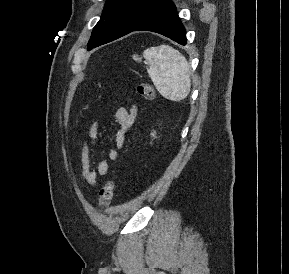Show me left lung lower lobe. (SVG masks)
I'll return each mask as SVG.
<instances>
[{"label": "left lung lower lobe", "mask_w": 289, "mask_h": 274, "mask_svg": "<svg viewBox=\"0 0 289 274\" xmlns=\"http://www.w3.org/2000/svg\"><path fill=\"white\" fill-rule=\"evenodd\" d=\"M140 30L162 34L181 45L187 43L185 28L178 17L172 0H168L160 6L133 31Z\"/></svg>", "instance_id": "left-lung-lower-lobe-1"}]
</instances>
